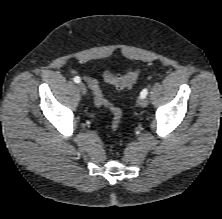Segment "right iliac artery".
Masks as SVG:
<instances>
[{
    "mask_svg": "<svg viewBox=\"0 0 222 219\" xmlns=\"http://www.w3.org/2000/svg\"><path fill=\"white\" fill-rule=\"evenodd\" d=\"M73 80L75 83H80V81H81L80 77H78V76L74 77Z\"/></svg>",
    "mask_w": 222,
    "mask_h": 219,
    "instance_id": "82829eb1",
    "label": "right iliac artery"
}]
</instances>
